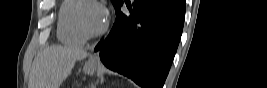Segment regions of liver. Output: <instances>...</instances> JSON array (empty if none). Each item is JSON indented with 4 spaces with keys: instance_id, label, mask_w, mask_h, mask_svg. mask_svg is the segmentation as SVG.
I'll return each mask as SVG.
<instances>
[{
    "instance_id": "obj_1",
    "label": "liver",
    "mask_w": 267,
    "mask_h": 88,
    "mask_svg": "<svg viewBox=\"0 0 267 88\" xmlns=\"http://www.w3.org/2000/svg\"><path fill=\"white\" fill-rule=\"evenodd\" d=\"M88 55L84 49L52 45L41 50L34 59L29 88H59L78 60Z\"/></svg>"
}]
</instances>
